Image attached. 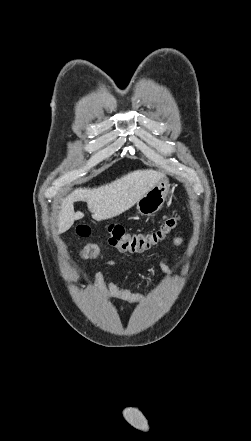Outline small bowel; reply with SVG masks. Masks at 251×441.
I'll list each match as a JSON object with an SVG mask.
<instances>
[{
    "label": "small bowel",
    "instance_id": "1",
    "mask_svg": "<svg viewBox=\"0 0 251 441\" xmlns=\"http://www.w3.org/2000/svg\"><path fill=\"white\" fill-rule=\"evenodd\" d=\"M181 242V238H176L174 241L176 245H179ZM77 255L80 258L91 261H104L109 270H113L116 266V261L104 257L95 244L90 243L80 248L77 250ZM160 267L163 273L168 276L172 275V271L165 260L161 261ZM93 286L104 298L109 300H124L131 303H144L149 300V298L142 293L131 291L110 278L106 279L105 275L100 271H97L93 276Z\"/></svg>",
    "mask_w": 251,
    "mask_h": 441
}]
</instances>
